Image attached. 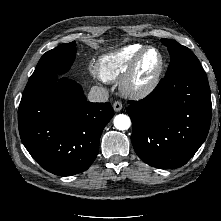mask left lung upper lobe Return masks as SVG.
I'll use <instances>...</instances> for the list:
<instances>
[{
  "label": "left lung upper lobe",
  "instance_id": "left-lung-upper-lobe-1",
  "mask_svg": "<svg viewBox=\"0 0 221 221\" xmlns=\"http://www.w3.org/2000/svg\"><path fill=\"white\" fill-rule=\"evenodd\" d=\"M161 41L168 48L171 57L166 75L173 73L184 65L200 63L189 48L173 40L162 39Z\"/></svg>",
  "mask_w": 221,
  "mask_h": 221
}]
</instances>
